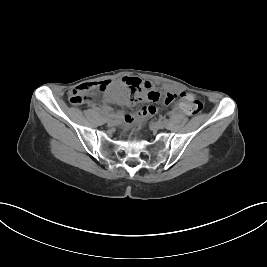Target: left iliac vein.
I'll list each match as a JSON object with an SVG mask.
<instances>
[{
  "label": "left iliac vein",
  "mask_w": 267,
  "mask_h": 267,
  "mask_svg": "<svg viewBox=\"0 0 267 267\" xmlns=\"http://www.w3.org/2000/svg\"><path fill=\"white\" fill-rule=\"evenodd\" d=\"M153 127L157 129H163L165 127V124L162 121H158V122L153 123Z\"/></svg>",
  "instance_id": "1"
}]
</instances>
